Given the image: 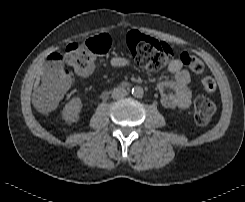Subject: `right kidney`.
<instances>
[{
    "mask_svg": "<svg viewBox=\"0 0 245 202\" xmlns=\"http://www.w3.org/2000/svg\"><path fill=\"white\" fill-rule=\"evenodd\" d=\"M82 108L81 99L79 97L72 98L63 108L62 117L66 123L77 122L79 113Z\"/></svg>",
    "mask_w": 245,
    "mask_h": 202,
    "instance_id": "right-kidney-1",
    "label": "right kidney"
}]
</instances>
